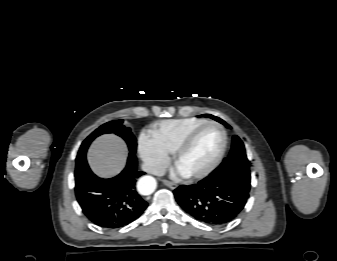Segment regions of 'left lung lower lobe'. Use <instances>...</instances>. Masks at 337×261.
<instances>
[{"mask_svg":"<svg viewBox=\"0 0 337 261\" xmlns=\"http://www.w3.org/2000/svg\"><path fill=\"white\" fill-rule=\"evenodd\" d=\"M174 195L182 209L207 225H225L244 208L249 192L222 176H208L194 185H181Z\"/></svg>","mask_w":337,"mask_h":261,"instance_id":"obj_1","label":"left lung lower lobe"}]
</instances>
